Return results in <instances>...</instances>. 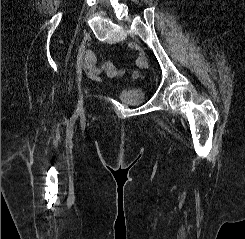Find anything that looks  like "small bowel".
Returning <instances> with one entry per match:
<instances>
[{
	"instance_id": "1",
	"label": "small bowel",
	"mask_w": 245,
	"mask_h": 239,
	"mask_svg": "<svg viewBox=\"0 0 245 239\" xmlns=\"http://www.w3.org/2000/svg\"><path fill=\"white\" fill-rule=\"evenodd\" d=\"M85 72L87 77L92 81L99 82L101 80V74L104 72V66L96 64V53L94 51L87 53L85 60Z\"/></svg>"
}]
</instances>
